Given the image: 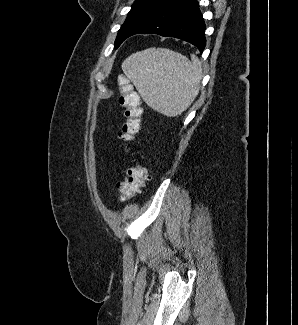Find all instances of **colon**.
Returning <instances> with one entry per match:
<instances>
[{
    "label": "colon",
    "mask_w": 298,
    "mask_h": 325,
    "mask_svg": "<svg viewBox=\"0 0 298 325\" xmlns=\"http://www.w3.org/2000/svg\"><path fill=\"white\" fill-rule=\"evenodd\" d=\"M119 104L123 109L124 123L120 136L126 141H132L140 130L142 122V107L140 97L125 77L119 78ZM148 176V171L140 163L131 165L124 181L120 185L119 200L127 201L136 196Z\"/></svg>",
    "instance_id": "5ec220e1"
}]
</instances>
